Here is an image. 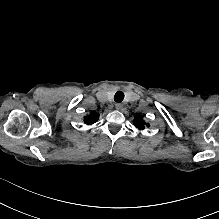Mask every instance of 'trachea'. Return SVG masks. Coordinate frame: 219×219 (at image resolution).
<instances>
[{"instance_id": "1", "label": "trachea", "mask_w": 219, "mask_h": 219, "mask_svg": "<svg viewBox=\"0 0 219 219\" xmlns=\"http://www.w3.org/2000/svg\"><path fill=\"white\" fill-rule=\"evenodd\" d=\"M123 99H124V93L122 91H118L114 96L115 102H121Z\"/></svg>"}]
</instances>
